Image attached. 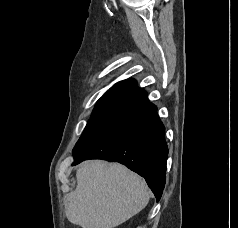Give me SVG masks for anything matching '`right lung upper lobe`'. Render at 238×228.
I'll list each match as a JSON object with an SVG mask.
<instances>
[{"instance_id":"obj_1","label":"right lung upper lobe","mask_w":238,"mask_h":228,"mask_svg":"<svg viewBox=\"0 0 238 228\" xmlns=\"http://www.w3.org/2000/svg\"><path fill=\"white\" fill-rule=\"evenodd\" d=\"M149 103L146 91L136 87V81L127 79L116 83L100 98L93 110L94 115H122Z\"/></svg>"}]
</instances>
